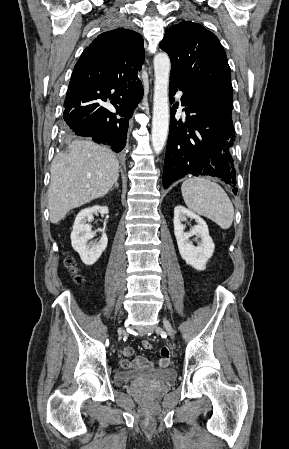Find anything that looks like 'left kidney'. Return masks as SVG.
<instances>
[{
  "instance_id": "1",
  "label": "left kidney",
  "mask_w": 289,
  "mask_h": 449,
  "mask_svg": "<svg viewBox=\"0 0 289 449\" xmlns=\"http://www.w3.org/2000/svg\"><path fill=\"white\" fill-rule=\"evenodd\" d=\"M187 218L193 219L197 223L189 232L184 231L185 226L183 225ZM173 223L174 235L182 259L194 269L204 270L215 248L214 242L209 236L206 222L199 215L184 206L178 205L174 209ZM192 236H196L197 246H194L189 240Z\"/></svg>"
}]
</instances>
